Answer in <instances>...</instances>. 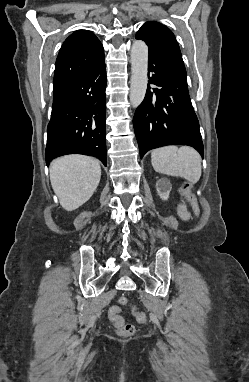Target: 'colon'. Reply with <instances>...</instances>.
Segmentation results:
<instances>
[{
	"instance_id": "colon-1",
	"label": "colon",
	"mask_w": 249,
	"mask_h": 382,
	"mask_svg": "<svg viewBox=\"0 0 249 382\" xmlns=\"http://www.w3.org/2000/svg\"><path fill=\"white\" fill-rule=\"evenodd\" d=\"M187 184H184L182 187V190H185L187 188ZM120 304L121 305H127L128 304V298L127 297H121L120 298ZM121 310L119 307H112L109 311V317L110 320L113 322L114 326L117 328V331L120 335L129 337L132 336L135 333V327L132 324H125L123 322V319L121 317ZM134 315L136 320L139 323H145L146 322V315L144 312L134 311Z\"/></svg>"
}]
</instances>
